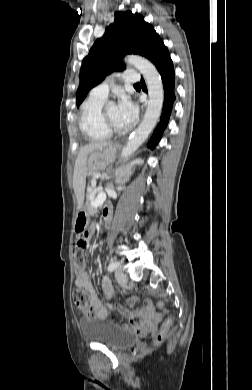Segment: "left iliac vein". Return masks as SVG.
Here are the masks:
<instances>
[{"instance_id":"1","label":"left iliac vein","mask_w":252,"mask_h":390,"mask_svg":"<svg viewBox=\"0 0 252 390\" xmlns=\"http://www.w3.org/2000/svg\"><path fill=\"white\" fill-rule=\"evenodd\" d=\"M115 277L118 283L126 284L128 281L127 275L124 273V270L121 267H118L115 271Z\"/></svg>"}]
</instances>
